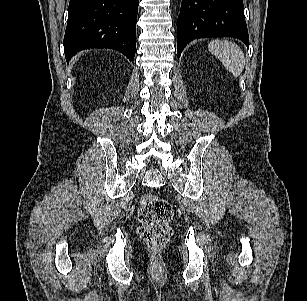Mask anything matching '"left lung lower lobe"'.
Returning <instances> with one entry per match:
<instances>
[{
	"instance_id": "0a47b994",
	"label": "left lung lower lobe",
	"mask_w": 307,
	"mask_h": 301,
	"mask_svg": "<svg viewBox=\"0 0 307 301\" xmlns=\"http://www.w3.org/2000/svg\"><path fill=\"white\" fill-rule=\"evenodd\" d=\"M234 37L249 47L242 0H182L177 26V55L194 39Z\"/></svg>"
}]
</instances>
